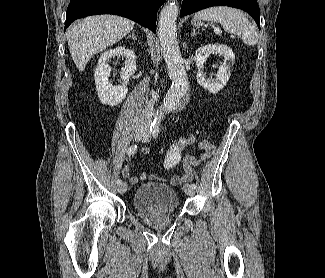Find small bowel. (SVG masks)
Wrapping results in <instances>:
<instances>
[{
	"instance_id": "c3829d8e",
	"label": "small bowel",
	"mask_w": 325,
	"mask_h": 278,
	"mask_svg": "<svg viewBox=\"0 0 325 278\" xmlns=\"http://www.w3.org/2000/svg\"><path fill=\"white\" fill-rule=\"evenodd\" d=\"M198 149L200 151L202 159H208V158L212 157L215 152L214 145L208 141L199 142ZM141 152H142V154H148L150 152V149L145 147L141 150ZM184 163H185L184 175L183 176H173L171 178V181L173 183H176V184L183 183L184 181H188L192 178L191 165L193 163V160L191 158H186ZM122 175L126 178H129L130 183L133 185L137 184L139 181H144L151 177V175H148L146 173H142L140 176L132 175L130 165H127L122 169Z\"/></svg>"
}]
</instances>
